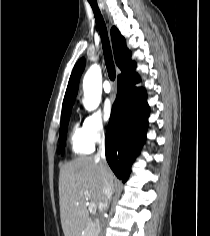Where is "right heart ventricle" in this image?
Returning a JSON list of instances; mask_svg holds the SVG:
<instances>
[{
    "label": "right heart ventricle",
    "mask_w": 210,
    "mask_h": 236,
    "mask_svg": "<svg viewBox=\"0 0 210 236\" xmlns=\"http://www.w3.org/2000/svg\"><path fill=\"white\" fill-rule=\"evenodd\" d=\"M69 145L76 155L89 154L93 150V144L86 136L84 126L78 120L72 122L69 133Z\"/></svg>",
    "instance_id": "obj_1"
}]
</instances>
